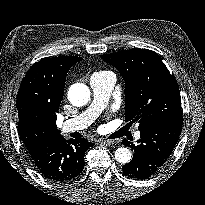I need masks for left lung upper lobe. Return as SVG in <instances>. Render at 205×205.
Returning a JSON list of instances; mask_svg holds the SVG:
<instances>
[{
    "instance_id": "5c2ea615",
    "label": "left lung upper lobe",
    "mask_w": 205,
    "mask_h": 205,
    "mask_svg": "<svg viewBox=\"0 0 205 205\" xmlns=\"http://www.w3.org/2000/svg\"><path fill=\"white\" fill-rule=\"evenodd\" d=\"M101 58L125 79L126 121L139 122V130L182 120L179 87L161 57L147 49H130Z\"/></svg>"
}]
</instances>
